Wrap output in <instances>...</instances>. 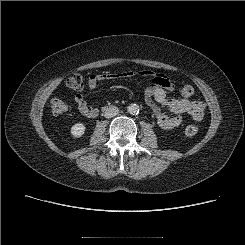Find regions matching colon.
Instances as JSON below:
<instances>
[{"mask_svg":"<svg viewBox=\"0 0 245 245\" xmlns=\"http://www.w3.org/2000/svg\"><path fill=\"white\" fill-rule=\"evenodd\" d=\"M67 86L71 90H74V91L82 90L83 86H84L82 76L79 74H74V75L70 76L67 79ZM181 93L185 97H190L194 94V88L189 84H185L181 88ZM50 109L54 115H62L64 113H66V111L68 110V106H67L66 102L63 101L62 99L54 98L50 102ZM198 130H199L198 125L191 124L185 128L184 134L187 137H192V136L197 134Z\"/></svg>","mask_w":245,"mask_h":245,"instance_id":"5ec220e1","label":"colon"}]
</instances>
